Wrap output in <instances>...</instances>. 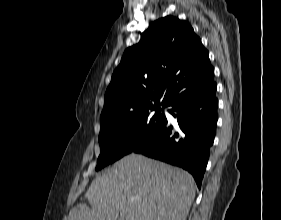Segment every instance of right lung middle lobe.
Returning a JSON list of instances; mask_svg holds the SVG:
<instances>
[{
	"instance_id": "dd1d6c3e",
	"label": "right lung middle lobe",
	"mask_w": 281,
	"mask_h": 220,
	"mask_svg": "<svg viewBox=\"0 0 281 220\" xmlns=\"http://www.w3.org/2000/svg\"><path fill=\"white\" fill-rule=\"evenodd\" d=\"M160 111V108H156L134 112L102 127L99 134L100 156L96 170L131 153L155 135L166 121Z\"/></svg>"
}]
</instances>
